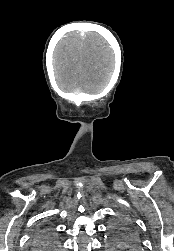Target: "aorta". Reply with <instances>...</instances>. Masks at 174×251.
<instances>
[{
    "label": "aorta",
    "instance_id": "aorta-1",
    "mask_svg": "<svg viewBox=\"0 0 174 251\" xmlns=\"http://www.w3.org/2000/svg\"><path fill=\"white\" fill-rule=\"evenodd\" d=\"M108 249L110 251H117V248L115 246L111 245V244L108 246Z\"/></svg>",
    "mask_w": 174,
    "mask_h": 251
}]
</instances>
